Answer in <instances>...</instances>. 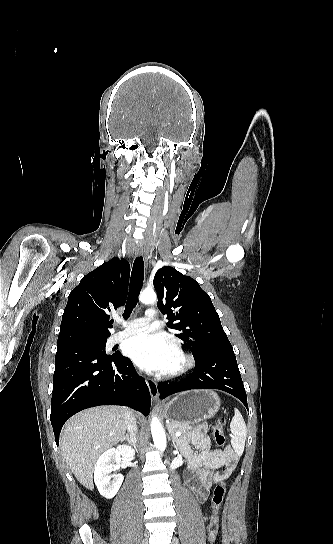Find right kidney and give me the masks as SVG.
<instances>
[{
    "label": "right kidney",
    "instance_id": "right-kidney-1",
    "mask_svg": "<svg viewBox=\"0 0 333 544\" xmlns=\"http://www.w3.org/2000/svg\"><path fill=\"white\" fill-rule=\"evenodd\" d=\"M134 450L126 445H119L102 453L94 467V482L99 493L107 498H113L123 482V475L113 474L123 459H131L134 456ZM117 464L114 465L113 463Z\"/></svg>",
    "mask_w": 333,
    "mask_h": 544
}]
</instances>
